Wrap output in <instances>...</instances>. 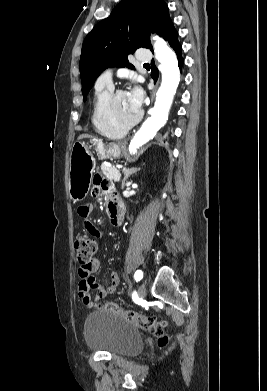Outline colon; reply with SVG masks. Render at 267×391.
Masks as SVG:
<instances>
[{
    "label": "colon",
    "mask_w": 267,
    "mask_h": 391,
    "mask_svg": "<svg viewBox=\"0 0 267 391\" xmlns=\"http://www.w3.org/2000/svg\"><path fill=\"white\" fill-rule=\"evenodd\" d=\"M74 247L79 264L81 267H87L97 254L99 243L94 236L79 235L75 239ZM98 307L114 312L120 315L125 321L134 324L145 332L155 335L160 346H165L168 343V337L165 333L167 322L165 320H159L153 316L143 315L132 310L121 309L114 303L99 304Z\"/></svg>",
    "instance_id": "colon-1"
}]
</instances>
